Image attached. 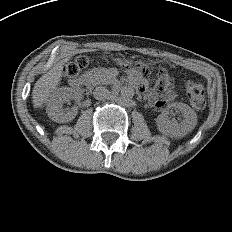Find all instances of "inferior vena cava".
Wrapping results in <instances>:
<instances>
[{"label": "inferior vena cava", "mask_w": 232, "mask_h": 232, "mask_svg": "<svg viewBox=\"0 0 232 232\" xmlns=\"http://www.w3.org/2000/svg\"><path fill=\"white\" fill-rule=\"evenodd\" d=\"M93 95L97 100H103L110 97V92L106 87L98 86L95 88Z\"/></svg>", "instance_id": "inferior-vena-cava-1"}]
</instances>
